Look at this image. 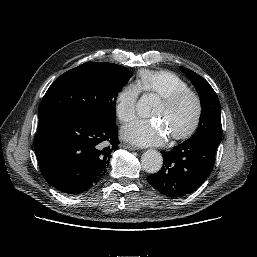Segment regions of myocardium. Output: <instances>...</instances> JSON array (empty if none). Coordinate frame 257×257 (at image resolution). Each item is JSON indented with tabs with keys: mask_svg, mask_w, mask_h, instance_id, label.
Instances as JSON below:
<instances>
[{
	"mask_svg": "<svg viewBox=\"0 0 257 257\" xmlns=\"http://www.w3.org/2000/svg\"><path fill=\"white\" fill-rule=\"evenodd\" d=\"M186 98H191L195 102V106H196L195 115L192 122L184 131L171 136V138L174 140L186 139L189 136H191L193 132L197 129L203 115L202 99L199 96V94L196 93L195 91L190 89H185V90L177 91L167 96L161 97V100H160L164 105L168 107H173Z\"/></svg>",
	"mask_w": 257,
	"mask_h": 257,
	"instance_id": "1",
	"label": "myocardium"
}]
</instances>
